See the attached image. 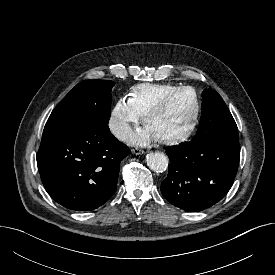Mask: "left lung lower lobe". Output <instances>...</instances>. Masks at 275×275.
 Here are the masks:
<instances>
[{
  "mask_svg": "<svg viewBox=\"0 0 275 275\" xmlns=\"http://www.w3.org/2000/svg\"><path fill=\"white\" fill-rule=\"evenodd\" d=\"M170 164L162 195L174 206L197 212L230 190L240 159L238 139H192L166 148Z\"/></svg>",
  "mask_w": 275,
  "mask_h": 275,
  "instance_id": "obj_1",
  "label": "left lung lower lobe"
}]
</instances>
